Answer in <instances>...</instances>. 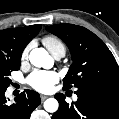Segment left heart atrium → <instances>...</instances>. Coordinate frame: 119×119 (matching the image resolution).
I'll return each mask as SVG.
<instances>
[{
    "instance_id": "1",
    "label": "left heart atrium",
    "mask_w": 119,
    "mask_h": 119,
    "mask_svg": "<svg viewBox=\"0 0 119 119\" xmlns=\"http://www.w3.org/2000/svg\"><path fill=\"white\" fill-rule=\"evenodd\" d=\"M58 81V74L54 71L37 70L28 78L27 83L34 89L41 92H48Z\"/></svg>"
}]
</instances>
